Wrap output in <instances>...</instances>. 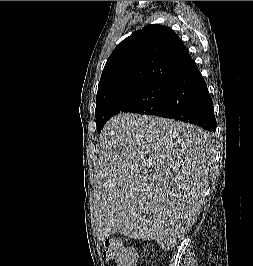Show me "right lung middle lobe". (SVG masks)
<instances>
[{"mask_svg": "<svg viewBox=\"0 0 253 266\" xmlns=\"http://www.w3.org/2000/svg\"><path fill=\"white\" fill-rule=\"evenodd\" d=\"M170 83L155 82L125 92L115 98L96 105V125L98 133L114 115L123 112L158 116L164 110Z\"/></svg>", "mask_w": 253, "mask_h": 266, "instance_id": "obj_1", "label": "right lung middle lobe"}]
</instances>
